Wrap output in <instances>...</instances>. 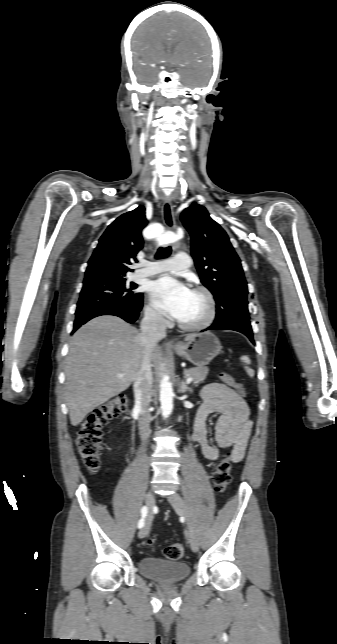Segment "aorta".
I'll use <instances>...</instances> for the list:
<instances>
[{
    "instance_id": "aorta-1",
    "label": "aorta",
    "mask_w": 337,
    "mask_h": 644,
    "mask_svg": "<svg viewBox=\"0 0 337 644\" xmlns=\"http://www.w3.org/2000/svg\"><path fill=\"white\" fill-rule=\"evenodd\" d=\"M148 237L158 238L162 242H171L175 240V237L170 236V234L168 232H164L163 229L150 230ZM160 403L162 416L167 418L173 410V388L168 375H162L160 382Z\"/></svg>"
}]
</instances>
